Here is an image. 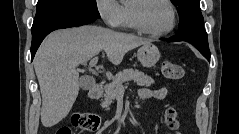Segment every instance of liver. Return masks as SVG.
<instances>
[{"label":"liver","instance_id":"obj_1","mask_svg":"<svg viewBox=\"0 0 239 134\" xmlns=\"http://www.w3.org/2000/svg\"><path fill=\"white\" fill-rule=\"evenodd\" d=\"M150 40L99 26L52 32L39 47L34 68L42 95L41 122L52 127L70 112L79 93L76 67L104 50L119 65L125 54Z\"/></svg>","mask_w":239,"mask_h":134}]
</instances>
